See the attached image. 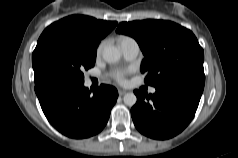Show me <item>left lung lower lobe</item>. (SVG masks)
Returning <instances> with one entry per match:
<instances>
[{"label": "left lung lower lobe", "instance_id": "left-lung-lower-lobe-1", "mask_svg": "<svg viewBox=\"0 0 238 158\" xmlns=\"http://www.w3.org/2000/svg\"><path fill=\"white\" fill-rule=\"evenodd\" d=\"M205 75H188L156 86L154 94L135 90L137 103L131 109L133 122L142 134L168 139L183 131L197 110Z\"/></svg>", "mask_w": 238, "mask_h": 158}]
</instances>
